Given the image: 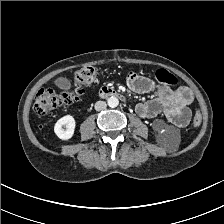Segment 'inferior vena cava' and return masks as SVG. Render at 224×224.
I'll return each mask as SVG.
<instances>
[{"instance_id": "inferior-vena-cava-1", "label": "inferior vena cava", "mask_w": 224, "mask_h": 224, "mask_svg": "<svg viewBox=\"0 0 224 224\" xmlns=\"http://www.w3.org/2000/svg\"><path fill=\"white\" fill-rule=\"evenodd\" d=\"M106 107H107V104H106V102H104V101H97V102L95 103V110H96V111H102V110H105Z\"/></svg>"}]
</instances>
